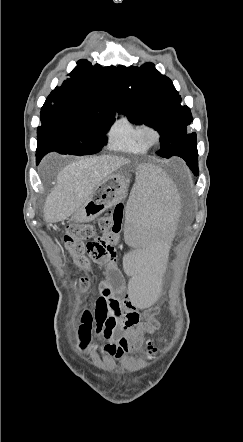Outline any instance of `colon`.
<instances>
[{
    "instance_id": "1",
    "label": "colon",
    "mask_w": 243,
    "mask_h": 442,
    "mask_svg": "<svg viewBox=\"0 0 243 442\" xmlns=\"http://www.w3.org/2000/svg\"><path fill=\"white\" fill-rule=\"evenodd\" d=\"M123 214L124 206L122 203H118L107 216L100 219L99 228L103 235L98 238L95 227L90 224L72 223L67 226L63 242L77 266L88 270V256L98 261H109L113 258L114 246L122 231ZM80 286L83 289L88 288V276H83L80 279ZM148 351H156V346L150 343Z\"/></svg>"
}]
</instances>
